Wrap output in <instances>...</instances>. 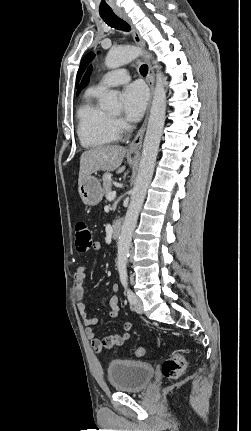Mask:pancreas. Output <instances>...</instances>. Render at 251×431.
<instances>
[{
	"instance_id": "pancreas-1",
	"label": "pancreas",
	"mask_w": 251,
	"mask_h": 431,
	"mask_svg": "<svg viewBox=\"0 0 251 431\" xmlns=\"http://www.w3.org/2000/svg\"><path fill=\"white\" fill-rule=\"evenodd\" d=\"M111 192H112L111 176L109 174H106L103 176V193L107 198L108 194Z\"/></svg>"
}]
</instances>
